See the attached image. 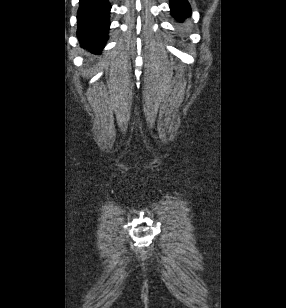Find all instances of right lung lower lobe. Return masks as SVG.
<instances>
[{"label": "right lung lower lobe", "mask_w": 286, "mask_h": 308, "mask_svg": "<svg viewBox=\"0 0 286 308\" xmlns=\"http://www.w3.org/2000/svg\"><path fill=\"white\" fill-rule=\"evenodd\" d=\"M110 9L108 0H80L77 36L94 52H101L108 39Z\"/></svg>", "instance_id": "obj_1"}]
</instances>
